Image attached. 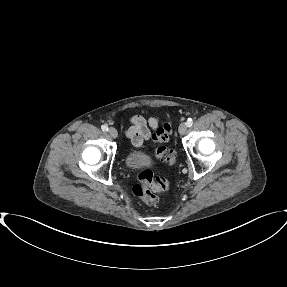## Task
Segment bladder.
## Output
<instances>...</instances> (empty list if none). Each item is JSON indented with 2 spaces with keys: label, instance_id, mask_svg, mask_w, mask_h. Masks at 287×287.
Segmentation results:
<instances>
[{
  "label": "bladder",
  "instance_id": "obj_1",
  "mask_svg": "<svg viewBox=\"0 0 287 287\" xmlns=\"http://www.w3.org/2000/svg\"><path fill=\"white\" fill-rule=\"evenodd\" d=\"M124 162L126 167L132 171H141L151 164L149 156L141 151H135L128 153Z\"/></svg>",
  "mask_w": 287,
  "mask_h": 287
}]
</instances>
